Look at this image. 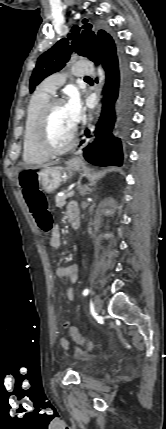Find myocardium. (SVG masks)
<instances>
[{"label": "myocardium", "instance_id": "f54148a6", "mask_svg": "<svg viewBox=\"0 0 166 429\" xmlns=\"http://www.w3.org/2000/svg\"><path fill=\"white\" fill-rule=\"evenodd\" d=\"M62 103H64V100L61 97L50 98L43 106L36 123V130H35L36 145L43 153L49 156L64 154L69 150H71L76 143V138H77L76 125L74 126V129L71 133L70 139L67 144L60 147H56V146H53L49 141V137H48L49 118L51 116L53 109L57 105Z\"/></svg>", "mask_w": 166, "mask_h": 429}]
</instances>
